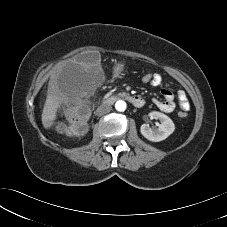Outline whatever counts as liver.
Returning <instances> with one entry per match:
<instances>
[{"mask_svg": "<svg viewBox=\"0 0 227 227\" xmlns=\"http://www.w3.org/2000/svg\"><path fill=\"white\" fill-rule=\"evenodd\" d=\"M91 67L75 60L58 64L51 75L41 121L45 129L53 126L60 105L79 92L81 82L90 76Z\"/></svg>", "mask_w": 227, "mask_h": 227, "instance_id": "obj_1", "label": "liver"}]
</instances>
